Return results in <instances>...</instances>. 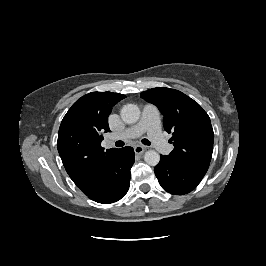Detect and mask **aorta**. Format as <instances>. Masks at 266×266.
Listing matches in <instances>:
<instances>
[{
  "instance_id": "obj_1",
  "label": "aorta",
  "mask_w": 266,
  "mask_h": 266,
  "mask_svg": "<svg viewBox=\"0 0 266 266\" xmlns=\"http://www.w3.org/2000/svg\"><path fill=\"white\" fill-rule=\"evenodd\" d=\"M120 115L125 123L133 124L139 120L140 110L135 104H126L121 109ZM144 161L150 166H156L160 161V155L154 150H149L144 154Z\"/></svg>"
}]
</instances>
